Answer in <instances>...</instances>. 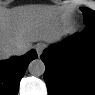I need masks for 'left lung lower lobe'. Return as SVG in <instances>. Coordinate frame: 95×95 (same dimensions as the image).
I'll return each instance as SVG.
<instances>
[{
    "label": "left lung lower lobe",
    "mask_w": 95,
    "mask_h": 95,
    "mask_svg": "<svg viewBox=\"0 0 95 95\" xmlns=\"http://www.w3.org/2000/svg\"><path fill=\"white\" fill-rule=\"evenodd\" d=\"M50 95H95V24L41 55Z\"/></svg>",
    "instance_id": "1"
}]
</instances>
